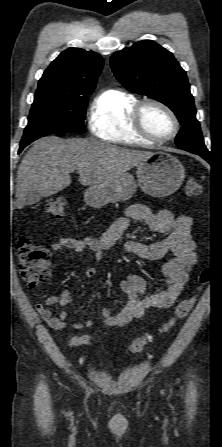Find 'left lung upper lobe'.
<instances>
[{"instance_id": "left-lung-upper-lobe-1", "label": "left lung upper lobe", "mask_w": 222, "mask_h": 447, "mask_svg": "<svg viewBox=\"0 0 222 447\" xmlns=\"http://www.w3.org/2000/svg\"><path fill=\"white\" fill-rule=\"evenodd\" d=\"M110 63L126 89L160 101L176 114L182 125L175 140L178 148L209 153L195 116L186 72L171 52L154 41L143 40L115 52Z\"/></svg>"}]
</instances>
